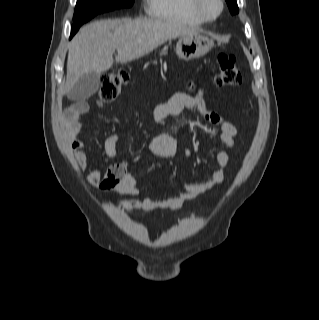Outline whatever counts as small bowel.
Returning a JSON list of instances; mask_svg holds the SVG:
<instances>
[{
    "mask_svg": "<svg viewBox=\"0 0 319 320\" xmlns=\"http://www.w3.org/2000/svg\"><path fill=\"white\" fill-rule=\"evenodd\" d=\"M185 110L197 113L206 122L216 127L214 137L228 149L234 146L237 135L235 126L224 120L216 112L207 109L202 92L197 94L175 93L167 102L157 106L153 113L154 124L158 127L165 117L178 115ZM87 111L88 105L85 102H79L62 119L67 145L74 151L76 162L81 170H85L87 167L88 155L91 151L82 139L81 118ZM120 140L121 137L117 134H112L106 138L104 153L107 158L112 159L116 156L117 145ZM148 145L151 153L159 158H172L177 151L176 139L159 130H156L150 136ZM214 160L219 167L213 170L207 181L183 184L181 190L169 191L168 197L161 200H156L140 190L137 179L127 169L128 163L122 164L123 169L114 171L112 176H109L112 166L106 170L96 167L88 174L86 181L90 186L105 192L115 191L135 197L137 199L136 205L144 211H175L186 202L223 183L225 179L224 168L229 164V154L227 151L218 150L214 153Z\"/></svg>",
    "mask_w": 319,
    "mask_h": 320,
    "instance_id": "obj_1",
    "label": "small bowel"
}]
</instances>
